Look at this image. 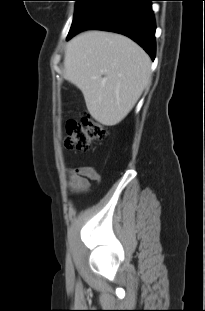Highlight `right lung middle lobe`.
<instances>
[{
    "label": "right lung middle lobe",
    "instance_id": "1",
    "mask_svg": "<svg viewBox=\"0 0 205 311\" xmlns=\"http://www.w3.org/2000/svg\"><path fill=\"white\" fill-rule=\"evenodd\" d=\"M75 1H76V9H75L74 19H73L71 28L78 22L80 16L86 9L88 2L90 0H75Z\"/></svg>",
    "mask_w": 205,
    "mask_h": 311
}]
</instances>
